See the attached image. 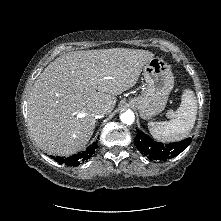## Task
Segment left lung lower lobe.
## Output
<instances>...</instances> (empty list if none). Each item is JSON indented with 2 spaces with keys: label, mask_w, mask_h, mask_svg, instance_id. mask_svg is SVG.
Wrapping results in <instances>:
<instances>
[{
  "label": "left lung lower lobe",
  "mask_w": 221,
  "mask_h": 221,
  "mask_svg": "<svg viewBox=\"0 0 221 221\" xmlns=\"http://www.w3.org/2000/svg\"><path fill=\"white\" fill-rule=\"evenodd\" d=\"M191 138L181 142L163 144L154 141L148 135L138 130L134 138V144L139 151L150 160H168L181 153L190 143Z\"/></svg>",
  "instance_id": "1"
}]
</instances>
